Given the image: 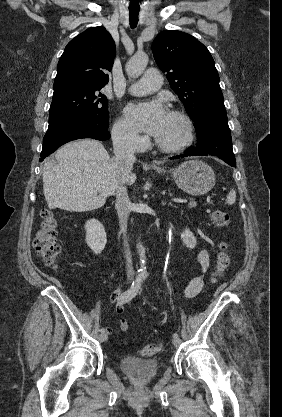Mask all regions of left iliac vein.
<instances>
[{
	"label": "left iliac vein",
	"instance_id": "4c4485c4",
	"mask_svg": "<svg viewBox=\"0 0 282 417\" xmlns=\"http://www.w3.org/2000/svg\"><path fill=\"white\" fill-rule=\"evenodd\" d=\"M172 343L174 346H179L181 344V339L179 337H173Z\"/></svg>",
	"mask_w": 282,
	"mask_h": 417
}]
</instances>
